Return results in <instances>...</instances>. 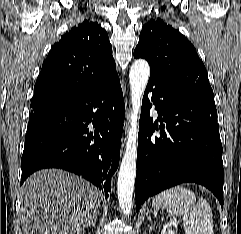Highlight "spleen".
<instances>
[{
    "label": "spleen",
    "instance_id": "3e777b00",
    "mask_svg": "<svg viewBox=\"0 0 241 234\" xmlns=\"http://www.w3.org/2000/svg\"><path fill=\"white\" fill-rule=\"evenodd\" d=\"M153 205L182 217L185 234H213V215L206 199L182 185L167 189L153 199Z\"/></svg>",
    "mask_w": 241,
    "mask_h": 234
}]
</instances>
